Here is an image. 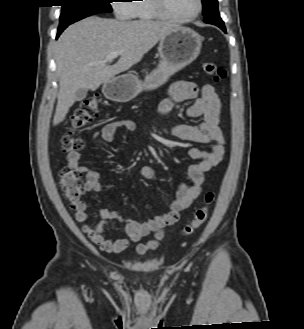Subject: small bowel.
<instances>
[{"instance_id": "small-bowel-1", "label": "small bowel", "mask_w": 304, "mask_h": 329, "mask_svg": "<svg viewBox=\"0 0 304 329\" xmlns=\"http://www.w3.org/2000/svg\"><path fill=\"white\" fill-rule=\"evenodd\" d=\"M186 101H193L186 111L187 116L193 119L202 118V122L197 126L172 123L169 126L170 135L188 142L214 143L213 148L209 151L199 148L189 150V156L197 161L188 168L191 184L189 186L179 185L168 209L151 219L137 222L122 216L117 210L101 209L99 211L100 222L92 226L88 222L86 203L84 201L78 203L74 208L75 219L82 224L84 234L102 251L120 254L135 243H137L135 253L139 256L156 250L163 240L165 227L174 224L179 219L181 212L198 198L206 181L207 173L222 161L225 154V141L220 128L222 109L216 90L210 84L176 83L171 87L168 96L159 104V116L166 119L174 105ZM120 129L134 130L135 123L129 119L112 120L106 123L95 137L103 143H109L113 141L115 132ZM81 159V154L77 152L68 155L70 167L85 175V189L94 192L100 191L102 185L99 172L88 169L81 163ZM139 175L146 180L152 179L155 175L154 168L144 165L140 168ZM113 222H117L123 227L126 238L114 241L104 238V228ZM149 233H154L152 240L138 243L143 236Z\"/></svg>"}]
</instances>
